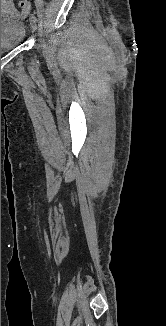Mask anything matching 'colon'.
<instances>
[{
    "mask_svg": "<svg viewBox=\"0 0 166 326\" xmlns=\"http://www.w3.org/2000/svg\"><path fill=\"white\" fill-rule=\"evenodd\" d=\"M18 5L22 11H26L28 9V4L25 0H21Z\"/></svg>",
    "mask_w": 166,
    "mask_h": 326,
    "instance_id": "5ec220e1",
    "label": "colon"
}]
</instances>
